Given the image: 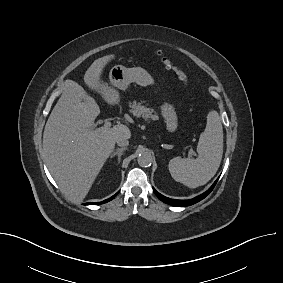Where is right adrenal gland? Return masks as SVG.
<instances>
[{
	"mask_svg": "<svg viewBox=\"0 0 283 283\" xmlns=\"http://www.w3.org/2000/svg\"><path fill=\"white\" fill-rule=\"evenodd\" d=\"M126 147L123 148H118L116 151H114L111 155L110 158H113L114 156H118V163L120 162L121 156L123 154V152L126 150Z\"/></svg>",
	"mask_w": 283,
	"mask_h": 283,
	"instance_id": "obj_1",
	"label": "right adrenal gland"
}]
</instances>
